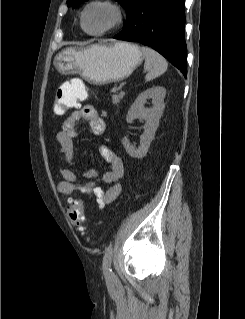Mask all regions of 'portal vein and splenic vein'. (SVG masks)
Here are the masks:
<instances>
[{
	"instance_id": "18ae733b",
	"label": "portal vein and splenic vein",
	"mask_w": 245,
	"mask_h": 319,
	"mask_svg": "<svg viewBox=\"0 0 245 319\" xmlns=\"http://www.w3.org/2000/svg\"><path fill=\"white\" fill-rule=\"evenodd\" d=\"M115 90H116V91H119V90H120V87L115 88Z\"/></svg>"
}]
</instances>
